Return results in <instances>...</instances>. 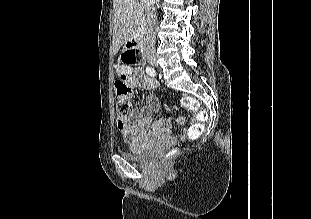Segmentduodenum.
Wrapping results in <instances>:
<instances>
[{"label": "duodenum", "mask_w": 311, "mask_h": 219, "mask_svg": "<svg viewBox=\"0 0 311 219\" xmlns=\"http://www.w3.org/2000/svg\"><path fill=\"white\" fill-rule=\"evenodd\" d=\"M143 27L140 26L132 35V37L127 42V49L134 55H137V49L141 51L142 49V39H143Z\"/></svg>", "instance_id": "obj_1"}]
</instances>
